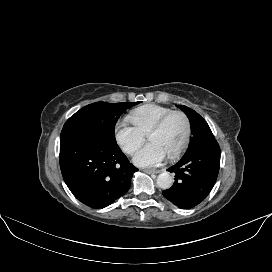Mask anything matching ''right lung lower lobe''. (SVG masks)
I'll return each mask as SVG.
<instances>
[{
	"label": "right lung lower lobe",
	"instance_id": "right-lung-lower-lobe-1",
	"mask_svg": "<svg viewBox=\"0 0 272 272\" xmlns=\"http://www.w3.org/2000/svg\"><path fill=\"white\" fill-rule=\"evenodd\" d=\"M59 159L63 179L72 194L97 209L124 195L138 170L116 142L82 128L62 130Z\"/></svg>",
	"mask_w": 272,
	"mask_h": 272
}]
</instances>
